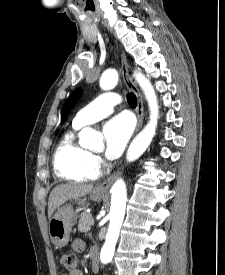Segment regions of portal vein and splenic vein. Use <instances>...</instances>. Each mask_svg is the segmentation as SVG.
I'll list each match as a JSON object with an SVG mask.
<instances>
[{"instance_id":"obj_1","label":"portal vein and splenic vein","mask_w":225,"mask_h":275,"mask_svg":"<svg viewBox=\"0 0 225 275\" xmlns=\"http://www.w3.org/2000/svg\"><path fill=\"white\" fill-rule=\"evenodd\" d=\"M91 223H92V225L94 224V220L93 219H92Z\"/></svg>"}]
</instances>
